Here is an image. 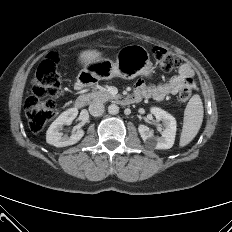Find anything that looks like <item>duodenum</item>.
I'll list each match as a JSON object with an SVG mask.
<instances>
[{"instance_id": "duodenum-1", "label": "duodenum", "mask_w": 232, "mask_h": 232, "mask_svg": "<svg viewBox=\"0 0 232 232\" xmlns=\"http://www.w3.org/2000/svg\"><path fill=\"white\" fill-rule=\"evenodd\" d=\"M85 88V86H77L76 90L78 92H81L83 89ZM141 99L136 96V95H126V96H120L117 98V102L121 105H130L136 102H139ZM86 102V96L83 93H80L76 96L75 101H74V106L77 109H81Z\"/></svg>"}]
</instances>
